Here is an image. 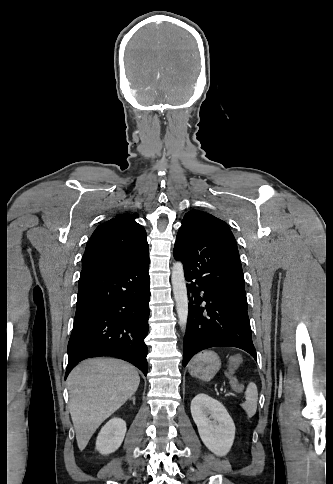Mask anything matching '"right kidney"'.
<instances>
[{"label":"right kidney","instance_id":"obj_1","mask_svg":"<svg viewBox=\"0 0 333 484\" xmlns=\"http://www.w3.org/2000/svg\"><path fill=\"white\" fill-rule=\"evenodd\" d=\"M126 423L121 418H113L102 427L96 440V449L103 455L116 451L123 442Z\"/></svg>","mask_w":333,"mask_h":484}]
</instances>
